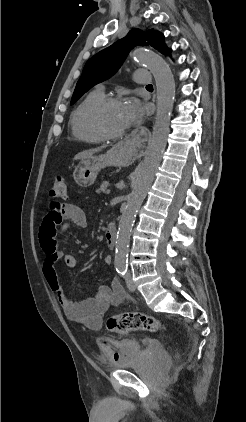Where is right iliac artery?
<instances>
[{
  "label": "right iliac artery",
  "mask_w": 246,
  "mask_h": 422,
  "mask_svg": "<svg viewBox=\"0 0 246 422\" xmlns=\"http://www.w3.org/2000/svg\"><path fill=\"white\" fill-rule=\"evenodd\" d=\"M118 273H119L120 275L124 276V274L126 273V270H120V271H118Z\"/></svg>",
  "instance_id": "1"
}]
</instances>
